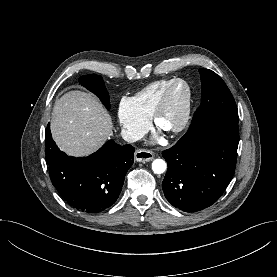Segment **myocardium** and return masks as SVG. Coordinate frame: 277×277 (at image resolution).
<instances>
[{"label":"myocardium","instance_id":"f54148a6","mask_svg":"<svg viewBox=\"0 0 277 277\" xmlns=\"http://www.w3.org/2000/svg\"><path fill=\"white\" fill-rule=\"evenodd\" d=\"M177 85H183L186 91L184 103L181 109L180 119L178 123L170 128L169 130L165 131L167 134L173 135L178 134L181 131L185 129L187 126L189 119H190V113H191V104H192V91L190 85L183 79L177 78L173 79L163 90L159 101L152 113V123L155 127L159 128V120L168 104L169 97L171 95L172 90Z\"/></svg>","mask_w":277,"mask_h":277}]
</instances>
